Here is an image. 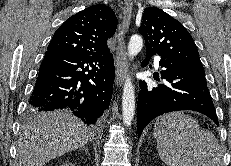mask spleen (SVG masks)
<instances>
[{"label":"spleen","mask_w":231,"mask_h":166,"mask_svg":"<svg viewBox=\"0 0 231 166\" xmlns=\"http://www.w3.org/2000/svg\"><path fill=\"white\" fill-rule=\"evenodd\" d=\"M154 137L167 166H223V152L216 137L203 130L197 119L181 111L157 118Z\"/></svg>","instance_id":"3e777b00"}]
</instances>
